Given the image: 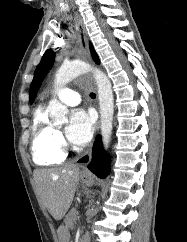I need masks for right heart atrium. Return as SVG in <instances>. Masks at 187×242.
<instances>
[{
    "label": "right heart atrium",
    "mask_w": 187,
    "mask_h": 242,
    "mask_svg": "<svg viewBox=\"0 0 187 242\" xmlns=\"http://www.w3.org/2000/svg\"><path fill=\"white\" fill-rule=\"evenodd\" d=\"M58 140H59V142H60V143H62V142H63V138H62V136H61V135H58Z\"/></svg>",
    "instance_id": "right-heart-atrium-1"
}]
</instances>
